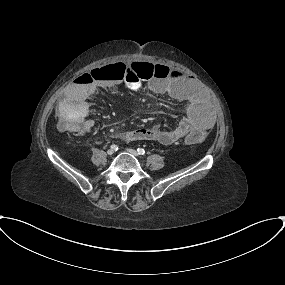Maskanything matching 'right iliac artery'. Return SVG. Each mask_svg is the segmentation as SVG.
<instances>
[{"instance_id": "obj_1", "label": "right iliac artery", "mask_w": 285, "mask_h": 285, "mask_svg": "<svg viewBox=\"0 0 285 285\" xmlns=\"http://www.w3.org/2000/svg\"><path fill=\"white\" fill-rule=\"evenodd\" d=\"M110 148H111V149H113V150H115V151H117V150H118V146H117V145H115V144H114V145H111V146H110Z\"/></svg>"}]
</instances>
